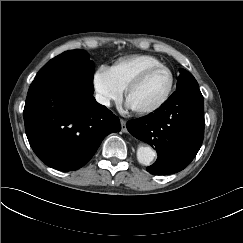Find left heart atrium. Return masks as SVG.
Wrapping results in <instances>:
<instances>
[{"label":"left heart atrium","instance_id":"39dd6f15","mask_svg":"<svg viewBox=\"0 0 243 243\" xmlns=\"http://www.w3.org/2000/svg\"><path fill=\"white\" fill-rule=\"evenodd\" d=\"M126 106H127V108H129V109H133V108L131 107V105H130L128 102H127Z\"/></svg>","mask_w":243,"mask_h":243}]
</instances>
